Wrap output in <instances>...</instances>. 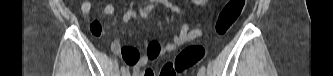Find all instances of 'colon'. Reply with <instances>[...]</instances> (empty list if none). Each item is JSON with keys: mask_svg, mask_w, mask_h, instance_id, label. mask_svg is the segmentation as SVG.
Listing matches in <instances>:
<instances>
[{"mask_svg": "<svg viewBox=\"0 0 333 76\" xmlns=\"http://www.w3.org/2000/svg\"><path fill=\"white\" fill-rule=\"evenodd\" d=\"M246 0H229L219 13L215 31L219 36L226 35L244 11ZM205 55L202 45L194 44L185 47L173 59L165 62L159 72L164 76H176L197 65ZM151 68L144 70V76H152Z\"/></svg>", "mask_w": 333, "mask_h": 76, "instance_id": "5ec220e1", "label": "colon"}]
</instances>
